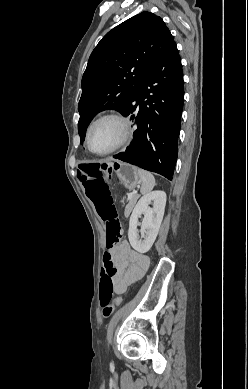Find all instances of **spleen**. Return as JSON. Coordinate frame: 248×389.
Returning a JSON list of instances; mask_svg holds the SVG:
<instances>
[{
    "label": "spleen",
    "mask_w": 248,
    "mask_h": 389,
    "mask_svg": "<svg viewBox=\"0 0 248 389\" xmlns=\"http://www.w3.org/2000/svg\"><path fill=\"white\" fill-rule=\"evenodd\" d=\"M137 174L141 184V193L148 194L155 186L154 176L143 169H137Z\"/></svg>",
    "instance_id": "obj_1"
}]
</instances>
